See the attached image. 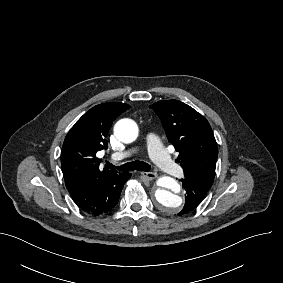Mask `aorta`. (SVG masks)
I'll return each instance as SVG.
<instances>
[{
	"mask_svg": "<svg viewBox=\"0 0 283 283\" xmlns=\"http://www.w3.org/2000/svg\"><path fill=\"white\" fill-rule=\"evenodd\" d=\"M139 129L135 121L124 118L114 126V134L123 143H132L138 137ZM158 189L155 191V199L161 209L167 213H174L180 210L183 200L178 194L180 185L169 177L162 176L157 180Z\"/></svg>",
	"mask_w": 283,
	"mask_h": 283,
	"instance_id": "762f6f07",
	"label": "aorta"
}]
</instances>
